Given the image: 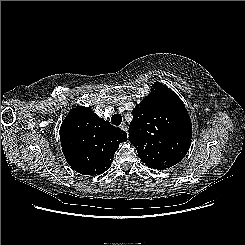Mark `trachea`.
Returning <instances> with one entry per match:
<instances>
[{
  "label": "trachea",
  "instance_id": "obj_1",
  "mask_svg": "<svg viewBox=\"0 0 245 245\" xmlns=\"http://www.w3.org/2000/svg\"><path fill=\"white\" fill-rule=\"evenodd\" d=\"M111 122L114 124V125H120L121 122H122V116L120 114H114L112 117H111Z\"/></svg>",
  "mask_w": 245,
  "mask_h": 245
}]
</instances>
